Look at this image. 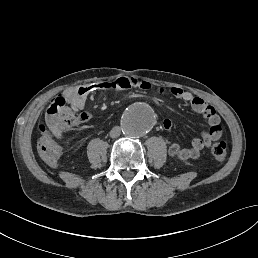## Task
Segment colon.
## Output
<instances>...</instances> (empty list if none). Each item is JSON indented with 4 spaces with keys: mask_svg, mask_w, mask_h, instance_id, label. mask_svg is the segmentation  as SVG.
I'll return each mask as SVG.
<instances>
[{
    "mask_svg": "<svg viewBox=\"0 0 258 258\" xmlns=\"http://www.w3.org/2000/svg\"><path fill=\"white\" fill-rule=\"evenodd\" d=\"M60 125L64 129H74L84 122V117L70 111H63L59 118ZM40 138L37 148L40 157L45 163L56 165L61 155V148L46 126L39 127ZM227 147L224 142H216L211 146V153L217 162H223L226 158Z\"/></svg>",
    "mask_w": 258,
    "mask_h": 258,
    "instance_id": "obj_1",
    "label": "colon"
}]
</instances>
